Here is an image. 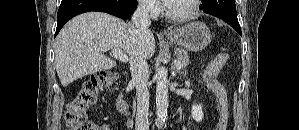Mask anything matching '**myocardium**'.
Here are the masks:
<instances>
[{"instance_id":"f54148a6","label":"myocardium","mask_w":299,"mask_h":130,"mask_svg":"<svg viewBox=\"0 0 299 130\" xmlns=\"http://www.w3.org/2000/svg\"><path fill=\"white\" fill-rule=\"evenodd\" d=\"M189 8L182 13L176 14L173 13L171 10V5H166L165 7V14L168 18L176 22H183L191 19L199 10V0H190Z\"/></svg>"}]
</instances>
